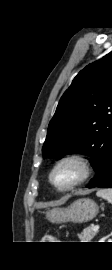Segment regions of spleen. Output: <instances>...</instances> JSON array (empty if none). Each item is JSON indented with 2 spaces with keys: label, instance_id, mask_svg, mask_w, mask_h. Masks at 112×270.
Listing matches in <instances>:
<instances>
[{
  "label": "spleen",
  "instance_id": "3e777b00",
  "mask_svg": "<svg viewBox=\"0 0 112 270\" xmlns=\"http://www.w3.org/2000/svg\"><path fill=\"white\" fill-rule=\"evenodd\" d=\"M96 195L106 199L109 203L112 204V189H100L97 191Z\"/></svg>",
  "mask_w": 112,
  "mask_h": 270
}]
</instances>
